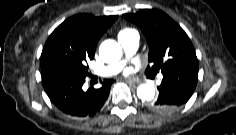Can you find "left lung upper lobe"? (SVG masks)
<instances>
[{
    "label": "left lung upper lobe",
    "mask_w": 236,
    "mask_h": 135,
    "mask_svg": "<svg viewBox=\"0 0 236 135\" xmlns=\"http://www.w3.org/2000/svg\"><path fill=\"white\" fill-rule=\"evenodd\" d=\"M123 17L138 25L147 39L151 65L146 74L199 66L195 49L185 31L162 11L143 9Z\"/></svg>",
    "instance_id": "left-lung-upper-lobe-1"
}]
</instances>
